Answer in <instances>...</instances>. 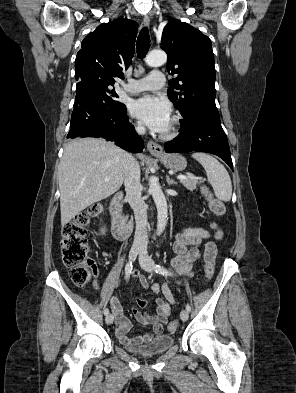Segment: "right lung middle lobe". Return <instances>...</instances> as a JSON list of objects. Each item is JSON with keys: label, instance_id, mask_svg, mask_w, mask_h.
I'll return each instance as SVG.
<instances>
[{"label": "right lung middle lobe", "instance_id": "dd1d6c3e", "mask_svg": "<svg viewBox=\"0 0 296 393\" xmlns=\"http://www.w3.org/2000/svg\"><path fill=\"white\" fill-rule=\"evenodd\" d=\"M78 81H82L88 84L112 108L122 109L125 106L117 100L118 95L116 94V92L110 89V86H113L112 83L103 81L95 77H85L79 79Z\"/></svg>", "mask_w": 296, "mask_h": 393}]
</instances>
